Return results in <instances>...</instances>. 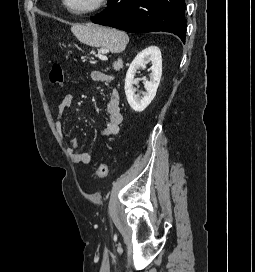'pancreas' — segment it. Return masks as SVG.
Masks as SVG:
<instances>
[{"instance_id": "obj_1", "label": "pancreas", "mask_w": 255, "mask_h": 272, "mask_svg": "<svg viewBox=\"0 0 255 272\" xmlns=\"http://www.w3.org/2000/svg\"><path fill=\"white\" fill-rule=\"evenodd\" d=\"M113 68H114V70L119 71L122 68V63L119 61L115 62L113 64Z\"/></svg>"}]
</instances>
